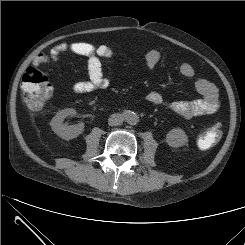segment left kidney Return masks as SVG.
Masks as SVG:
<instances>
[{
    "mask_svg": "<svg viewBox=\"0 0 245 245\" xmlns=\"http://www.w3.org/2000/svg\"><path fill=\"white\" fill-rule=\"evenodd\" d=\"M166 142L172 147H180L188 142V137L181 128H174L166 136Z\"/></svg>",
    "mask_w": 245,
    "mask_h": 245,
    "instance_id": "1",
    "label": "left kidney"
}]
</instances>
